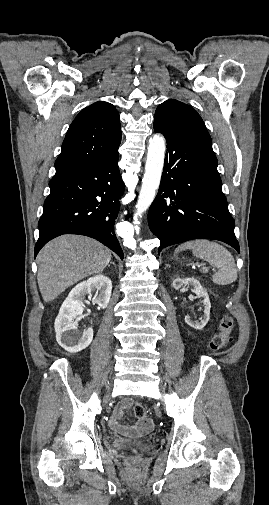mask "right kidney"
Returning a JSON list of instances; mask_svg holds the SVG:
<instances>
[{"label":"right kidney","mask_w":269,"mask_h":505,"mask_svg":"<svg viewBox=\"0 0 269 505\" xmlns=\"http://www.w3.org/2000/svg\"><path fill=\"white\" fill-rule=\"evenodd\" d=\"M112 282L104 275H96L77 284L63 302L55 320V332L58 343L68 352L76 353L90 345L93 340V329L80 332L77 320L85 307L86 295L95 292L93 301L100 308H106L111 297Z\"/></svg>","instance_id":"obj_1"}]
</instances>
